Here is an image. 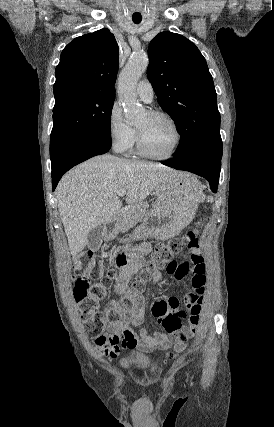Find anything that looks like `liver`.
Listing matches in <instances>:
<instances>
[{"label":"liver","instance_id":"6515ba94","mask_svg":"<svg viewBox=\"0 0 274 427\" xmlns=\"http://www.w3.org/2000/svg\"><path fill=\"white\" fill-rule=\"evenodd\" d=\"M180 172L148 162L96 156L63 176L57 188L58 210L71 255L84 249L90 229L111 223L122 208L117 190H126V204H140L163 180Z\"/></svg>","mask_w":274,"mask_h":427}]
</instances>
